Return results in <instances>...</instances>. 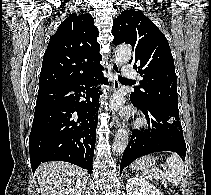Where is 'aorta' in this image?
<instances>
[{
	"instance_id": "obj_1",
	"label": "aorta",
	"mask_w": 211,
	"mask_h": 195,
	"mask_svg": "<svg viewBox=\"0 0 211 195\" xmlns=\"http://www.w3.org/2000/svg\"><path fill=\"white\" fill-rule=\"evenodd\" d=\"M132 57L131 48L127 45H120L115 51L116 61L119 63H127ZM129 142V131L125 128H120L116 132L114 142H113V152L116 154H121L124 152L127 144Z\"/></svg>"
}]
</instances>
